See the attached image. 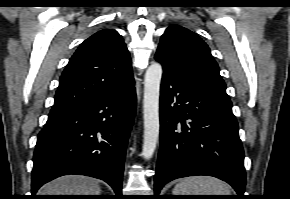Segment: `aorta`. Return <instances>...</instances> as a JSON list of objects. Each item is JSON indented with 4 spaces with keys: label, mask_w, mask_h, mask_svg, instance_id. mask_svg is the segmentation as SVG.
I'll use <instances>...</instances> for the list:
<instances>
[{
    "label": "aorta",
    "mask_w": 290,
    "mask_h": 199,
    "mask_svg": "<svg viewBox=\"0 0 290 199\" xmlns=\"http://www.w3.org/2000/svg\"><path fill=\"white\" fill-rule=\"evenodd\" d=\"M162 72V66L155 62L148 67L145 73L143 99L144 135L142 156L146 160H149L153 156L159 139V97Z\"/></svg>",
    "instance_id": "obj_1"
}]
</instances>
